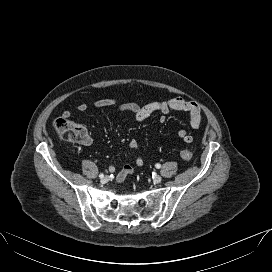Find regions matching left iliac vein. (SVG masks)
Segmentation results:
<instances>
[{
    "mask_svg": "<svg viewBox=\"0 0 272 272\" xmlns=\"http://www.w3.org/2000/svg\"><path fill=\"white\" fill-rule=\"evenodd\" d=\"M161 181H162L161 176H159V175H155V176H154L153 182H154L155 184H158V183H160Z\"/></svg>",
    "mask_w": 272,
    "mask_h": 272,
    "instance_id": "4c4485c4",
    "label": "left iliac vein"
}]
</instances>
